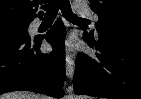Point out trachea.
I'll use <instances>...</instances> for the list:
<instances>
[{"label":"trachea","instance_id":"trachea-1","mask_svg":"<svg viewBox=\"0 0 141 99\" xmlns=\"http://www.w3.org/2000/svg\"><path fill=\"white\" fill-rule=\"evenodd\" d=\"M41 8L46 11L44 20L53 21L60 9L63 16L70 22H88V20L80 18L72 12L69 0H52L49 4L44 5Z\"/></svg>","mask_w":141,"mask_h":99}]
</instances>
